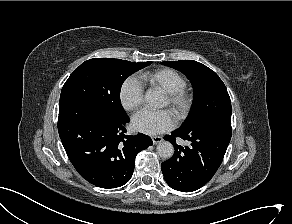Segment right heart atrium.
Here are the masks:
<instances>
[{"mask_svg":"<svg viewBox=\"0 0 292 224\" xmlns=\"http://www.w3.org/2000/svg\"><path fill=\"white\" fill-rule=\"evenodd\" d=\"M143 98L144 89L138 79L129 77L123 81L119 89V99L125 110L133 111L139 108Z\"/></svg>","mask_w":292,"mask_h":224,"instance_id":"obj_1","label":"right heart atrium"}]
</instances>
